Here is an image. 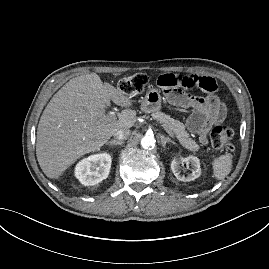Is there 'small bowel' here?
<instances>
[{"label": "small bowel", "mask_w": 269, "mask_h": 269, "mask_svg": "<svg viewBox=\"0 0 269 269\" xmlns=\"http://www.w3.org/2000/svg\"><path fill=\"white\" fill-rule=\"evenodd\" d=\"M158 85L165 89L179 87H199L203 90L204 98L191 96L174 90L171 92V100L175 104L191 106L193 113L188 121V126L196 132L202 143L207 141V133L210 128L224 121L226 116L225 105L214 94L217 92L215 80L210 75H175L161 74L158 77Z\"/></svg>", "instance_id": "c3829d8e"}]
</instances>
